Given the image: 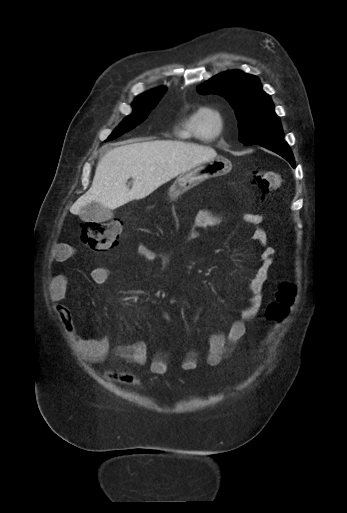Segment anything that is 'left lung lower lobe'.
<instances>
[{
  "label": "left lung lower lobe",
  "instance_id": "obj_1",
  "mask_svg": "<svg viewBox=\"0 0 347 513\" xmlns=\"http://www.w3.org/2000/svg\"><path fill=\"white\" fill-rule=\"evenodd\" d=\"M259 145L281 155L283 158H285L287 161L290 162L292 167H295L293 154H292L287 142H285L284 140L267 142V143H262Z\"/></svg>",
  "mask_w": 347,
  "mask_h": 513
}]
</instances>
